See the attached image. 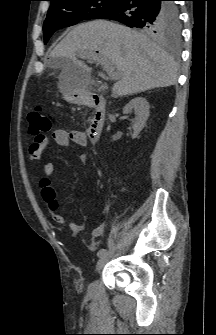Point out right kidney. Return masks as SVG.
Masks as SVG:
<instances>
[{
	"mask_svg": "<svg viewBox=\"0 0 216 335\" xmlns=\"http://www.w3.org/2000/svg\"><path fill=\"white\" fill-rule=\"evenodd\" d=\"M149 103L144 97H136L132 99L124 108L123 113L128 114L134 110L136 115L135 120L133 121V135L132 138H136L139 133L144 128L146 121L149 117Z\"/></svg>",
	"mask_w": 216,
	"mask_h": 335,
	"instance_id": "right-kidney-1",
	"label": "right kidney"
}]
</instances>
